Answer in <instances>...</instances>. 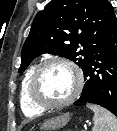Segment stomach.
Masks as SVG:
<instances>
[{
    "instance_id": "stomach-1",
    "label": "stomach",
    "mask_w": 117,
    "mask_h": 131,
    "mask_svg": "<svg viewBox=\"0 0 117 131\" xmlns=\"http://www.w3.org/2000/svg\"><path fill=\"white\" fill-rule=\"evenodd\" d=\"M70 120V115L68 113L54 118L46 120L40 127L41 130L54 131L56 129L62 128Z\"/></svg>"
}]
</instances>
